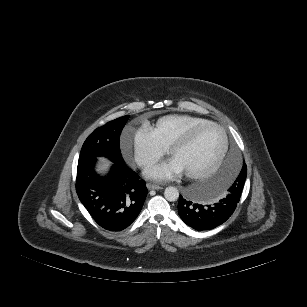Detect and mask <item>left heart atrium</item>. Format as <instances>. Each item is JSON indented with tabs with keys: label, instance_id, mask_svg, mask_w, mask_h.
<instances>
[{
	"label": "left heart atrium",
	"instance_id": "obj_1",
	"mask_svg": "<svg viewBox=\"0 0 307 307\" xmlns=\"http://www.w3.org/2000/svg\"><path fill=\"white\" fill-rule=\"evenodd\" d=\"M183 172L181 166L174 160L149 167L146 175L152 179H172Z\"/></svg>",
	"mask_w": 307,
	"mask_h": 307
}]
</instances>
